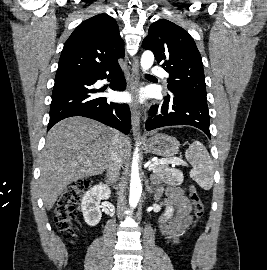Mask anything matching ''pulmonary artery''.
<instances>
[{
  "mask_svg": "<svg viewBox=\"0 0 267 270\" xmlns=\"http://www.w3.org/2000/svg\"><path fill=\"white\" fill-rule=\"evenodd\" d=\"M152 73L155 74V75L165 76L164 71L161 68H158V67H154L152 69Z\"/></svg>",
  "mask_w": 267,
  "mask_h": 270,
  "instance_id": "obj_1",
  "label": "pulmonary artery"
}]
</instances>
